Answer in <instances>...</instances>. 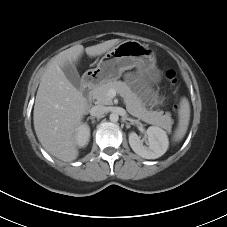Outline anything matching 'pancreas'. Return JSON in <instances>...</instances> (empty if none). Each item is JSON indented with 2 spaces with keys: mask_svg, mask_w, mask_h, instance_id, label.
I'll return each mask as SVG.
<instances>
[{
  "mask_svg": "<svg viewBox=\"0 0 227 227\" xmlns=\"http://www.w3.org/2000/svg\"><path fill=\"white\" fill-rule=\"evenodd\" d=\"M114 89L123 98L127 111L134 117L142 121L171 131L172 119L169 113L163 114L161 110H147L141 100L131 91L128 85L123 81L110 80L101 83L91 91L92 98L97 104L111 105L112 98L108 96V91Z\"/></svg>",
  "mask_w": 227,
  "mask_h": 227,
  "instance_id": "pancreas-1",
  "label": "pancreas"
}]
</instances>
